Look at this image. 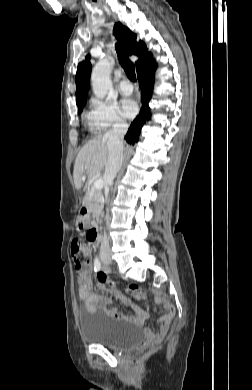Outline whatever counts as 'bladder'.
I'll return each mask as SVG.
<instances>
[{
    "mask_svg": "<svg viewBox=\"0 0 252 390\" xmlns=\"http://www.w3.org/2000/svg\"><path fill=\"white\" fill-rule=\"evenodd\" d=\"M82 338L89 343L114 349H130L137 346L144 337V330L133 322L112 320L100 315L79 312Z\"/></svg>",
    "mask_w": 252,
    "mask_h": 390,
    "instance_id": "1",
    "label": "bladder"
}]
</instances>
